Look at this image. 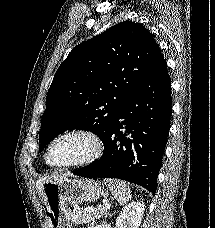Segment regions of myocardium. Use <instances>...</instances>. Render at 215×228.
Here are the masks:
<instances>
[{"instance_id": "obj_1", "label": "myocardium", "mask_w": 215, "mask_h": 228, "mask_svg": "<svg viewBox=\"0 0 215 228\" xmlns=\"http://www.w3.org/2000/svg\"><path fill=\"white\" fill-rule=\"evenodd\" d=\"M70 137L80 138L86 142L87 149L84 154L77 159L63 165H50L47 161V156L51 148L60 140ZM103 149L104 143L101 137L94 130L84 127L71 128L59 133L49 141L43 152V162L48 168L56 171L72 167H78L96 160L102 154Z\"/></svg>"}]
</instances>
